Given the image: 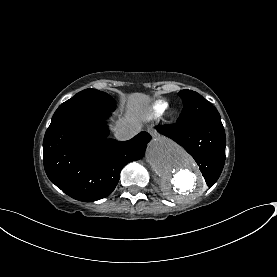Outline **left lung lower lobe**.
Segmentation results:
<instances>
[{
    "label": "left lung lower lobe",
    "mask_w": 277,
    "mask_h": 277,
    "mask_svg": "<svg viewBox=\"0 0 277 277\" xmlns=\"http://www.w3.org/2000/svg\"><path fill=\"white\" fill-rule=\"evenodd\" d=\"M195 159L206 183L211 187L219 178L225 162L226 137L221 120L156 126Z\"/></svg>",
    "instance_id": "left-lung-lower-lobe-1"
}]
</instances>
